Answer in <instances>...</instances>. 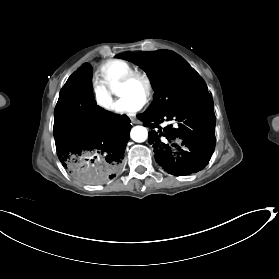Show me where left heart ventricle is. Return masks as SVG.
I'll return each instance as SVG.
<instances>
[{
	"label": "left heart ventricle",
	"instance_id": "left-heart-ventricle-1",
	"mask_svg": "<svg viewBox=\"0 0 279 279\" xmlns=\"http://www.w3.org/2000/svg\"><path fill=\"white\" fill-rule=\"evenodd\" d=\"M117 94L120 97V99L123 97L131 99H143L144 86L140 82H136L127 86H122L119 89H117Z\"/></svg>",
	"mask_w": 279,
	"mask_h": 279
}]
</instances>
